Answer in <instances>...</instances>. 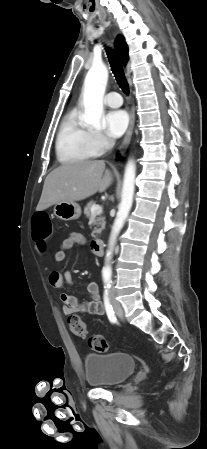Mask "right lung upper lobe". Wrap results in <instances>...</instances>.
I'll use <instances>...</instances> for the list:
<instances>
[{"instance_id": "obj_1", "label": "right lung upper lobe", "mask_w": 207, "mask_h": 449, "mask_svg": "<svg viewBox=\"0 0 207 449\" xmlns=\"http://www.w3.org/2000/svg\"><path fill=\"white\" fill-rule=\"evenodd\" d=\"M115 45L119 51V54L122 58L123 63L126 64L129 59V56H128V46H127L124 38L122 36H119L116 39Z\"/></svg>"}]
</instances>
